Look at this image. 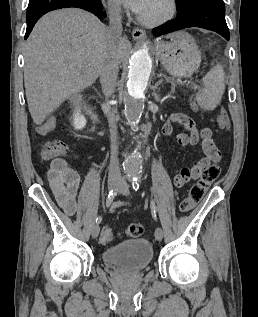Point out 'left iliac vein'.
<instances>
[{
  "instance_id": "1",
  "label": "left iliac vein",
  "mask_w": 258,
  "mask_h": 317,
  "mask_svg": "<svg viewBox=\"0 0 258 317\" xmlns=\"http://www.w3.org/2000/svg\"><path fill=\"white\" fill-rule=\"evenodd\" d=\"M119 184L117 185V194L118 195H125V194H129V188L130 185L127 184V182L125 181V179L123 177H120L118 179ZM154 234L156 235V240L157 241H162L163 240V231L161 227H156Z\"/></svg>"
}]
</instances>
